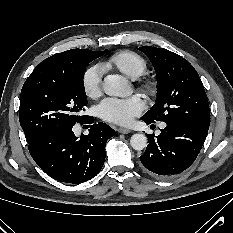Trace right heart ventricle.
Wrapping results in <instances>:
<instances>
[{
    "mask_svg": "<svg viewBox=\"0 0 233 233\" xmlns=\"http://www.w3.org/2000/svg\"><path fill=\"white\" fill-rule=\"evenodd\" d=\"M105 67L116 69L127 77L136 79L146 71L147 64L139 54L123 50L113 54L106 62Z\"/></svg>",
    "mask_w": 233,
    "mask_h": 233,
    "instance_id": "obj_1",
    "label": "right heart ventricle"
}]
</instances>
